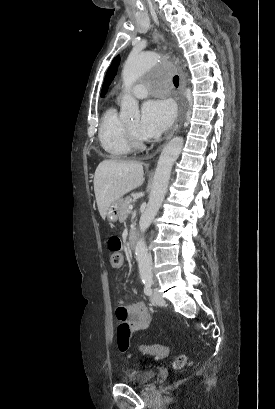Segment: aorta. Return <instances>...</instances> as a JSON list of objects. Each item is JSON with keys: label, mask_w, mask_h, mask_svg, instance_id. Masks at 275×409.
Masks as SVG:
<instances>
[{"label": "aorta", "mask_w": 275, "mask_h": 409, "mask_svg": "<svg viewBox=\"0 0 275 409\" xmlns=\"http://www.w3.org/2000/svg\"><path fill=\"white\" fill-rule=\"evenodd\" d=\"M166 51H128V58L122 70L123 84L126 88L121 102V120H140L138 100L130 94L129 88L144 74L146 65H159L160 60H166ZM184 144L182 136H175L164 146L153 176L152 190L148 205L139 221L141 233L150 227L157 215L167 190L173 162L177 160ZM136 261L142 281H152L153 273L144 239H138L135 247Z\"/></svg>", "instance_id": "762f6f07"}]
</instances>
